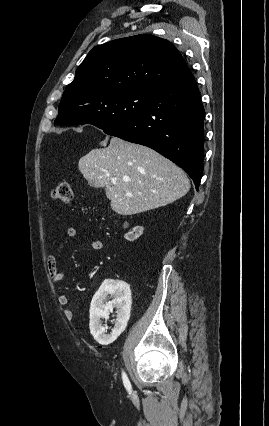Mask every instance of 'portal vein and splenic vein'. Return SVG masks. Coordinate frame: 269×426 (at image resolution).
<instances>
[{
    "instance_id": "18ae733b",
    "label": "portal vein and splenic vein",
    "mask_w": 269,
    "mask_h": 426,
    "mask_svg": "<svg viewBox=\"0 0 269 426\" xmlns=\"http://www.w3.org/2000/svg\"><path fill=\"white\" fill-rule=\"evenodd\" d=\"M111 182H112V183H115V182H116V179H115V178H112V179H111ZM126 195H127V196H132V193L127 192V193H126Z\"/></svg>"
}]
</instances>
